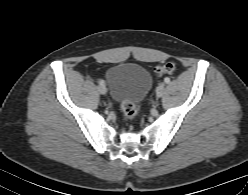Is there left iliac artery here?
Listing matches in <instances>:
<instances>
[{"label":"left iliac artery","mask_w":248,"mask_h":195,"mask_svg":"<svg viewBox=\"0 0 248 195\" xmlns=\"http://www.w3.org/2000/svg\"><path fill=\"white\" fill-rule=\"evenodd\" d=\"M164 82L168 84V83L170 82V79H169L168 77H166V78L164 79Z\"/></svg>","instance_id":"44dca946"}]
</instances>
